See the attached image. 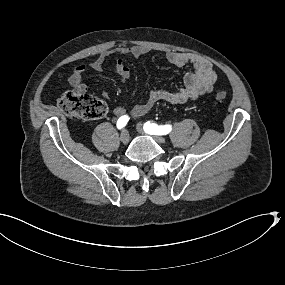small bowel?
Segmentation results:
<instances>
[{"label": "small bowel", "mask_w": 285, "mask_h": 285, "mask_svg": "<svg viewBox=\"0 0 285 285\" xmlns=\"http://www.w3.org/2000/svg\"><path fill=\"white\" fill-rule=\"evenodd\" d=\"M130 55L134 58H139L148 53V49L139 45H119L113 50L101 53L89 66L80 65L69 78V84L76 91H86V85L83 82V77L88 69L94 72H101L107 59L112 54ZM166 58L169 63L177 67L191 65L193 70L186 73L184 77L183 86L175 91H167L154 89L148 95L146 101L138 103L133 106L131 114L134 118L143 116L150 111L153 106L159 101H165L171 104H183L188 101L196 100L202 95L210 93L217 81V74L213 65L207 59L193 54L184 52H168ZM116 71L122 81H126L130 76L128 66L121 60L116 61ZM103 97L108 98L109 93L103 91ZM117 117L124 116L126 109L124 107H117L114 110Z\"/></svg>", "instance_id": "1"}]
</instances>
